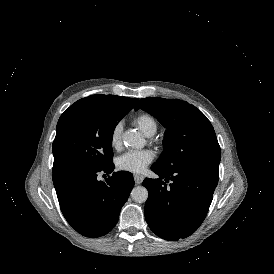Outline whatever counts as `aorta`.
I'll return each instance as SVG.
<instances>
[{"label":"aorta","mask_w":274,"mask_h":274,"mask_svg":"<svg viewBox=\"0 0 274 274\" xmlns=\"http://www.w3.org/2000/svg\"><path fill=\"white\" fill-rule=\"evenodd\" d=\"M124 143L132 148H141L144 145L142 135L132 129L127 130L123 135ZM132 199L137 203L146 202L148 199V190L144 186H136L131 191Z\"/></svg>","instance_id":"762f6f07"}]
</instances>
